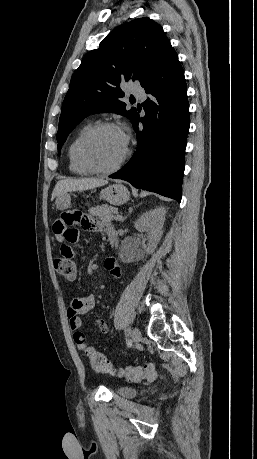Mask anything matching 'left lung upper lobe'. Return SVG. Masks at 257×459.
<instances>
[{
	"label": "left lung upper lobe",
	"mask_w": 257,
	"mask_h": 459,
	"mask_svg": "<svg viewBox=\"0 0 257 459\" xmlns=\"http://www.w3.org/2000/svg\"><path fill=\"white\" fill-rule=\"evenodd\" d=\"M172 50L162 27L148 17L112 30L98 49L84 56L71 78L59 119L58 149L71 131L94 112H116L132 122L137 111L125 109L120 84L138 80L143 87Z\"/></svg>",
	"instance_id": "obj_1"
}]
</instances>
